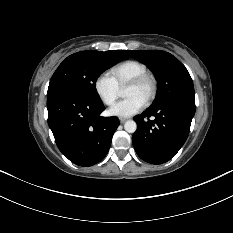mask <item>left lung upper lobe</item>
<instances>
[{"instance_id": "5c2ea615", "label": "left lung upper lobe", "mask_w": 233, "mask_h": 233, "mask_svg": "<svg viewBox=\"0 0 233 233\" xmlns=\"http://www.w3.org/2000/svg\"><path fill=\"white\" fill-rule=\"evenodd\" d=\"M127 53L148 65L158 80L159 91L151 107L178 100L195 104L191 76L177 58L161 50H128Z\"/></svg>"}]
</instances>
